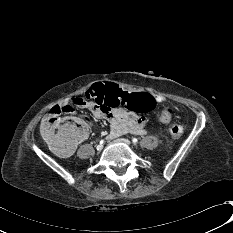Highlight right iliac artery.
Returning <instances> with one entry per match:
<instances>
[{
    "label": "right iliac artery",
    "mask_w": 233,
    "mask_h": 233,
    "mask_svg": "<svg viewBox=\"0 0 233 233\" xmlns=\"http://www.w3.org/2000/svg\"><path fill=\"white\" fill-rule=\"evenodd\" d=\"M103 143H104V140H101V141H100V144H103Z\"/></svg>",
    "instance_id": "82829eb1"
}]
</instances>
